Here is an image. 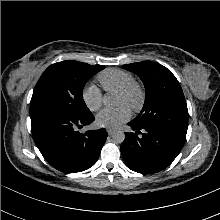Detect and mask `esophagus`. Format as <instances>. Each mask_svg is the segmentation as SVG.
Masks as SVG:
<instances>
[{
	"label": "esophagus",
	"mask_w": 220,
	"mask_h": 220,
	"mask_svg": "<svg viewBox=\"0 0 220 220\" xmlns=\"http://www.w3.org/2000/svg\"><path fill=\"white\" fill-rule=\"evenodd\" d=\"M114 132H115V130H113V129H107V133H108L109 135H112Z\"/></svg>",
	"instance_id": "1"
}]
</instances>
